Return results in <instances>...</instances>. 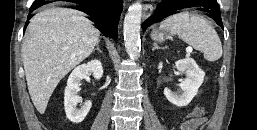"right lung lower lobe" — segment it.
I'll list each match as a JSON object with an SVG mask.
<instances>
[{"label":"right lung lower lobe","instance_id":"98d812e1","mask_svg":"<svg viewBox=\"0 0 257 130\" xmlns=\"http://www.w3.org/2000/svg\"><path fill=\"white\" fill-rule=\"evenodd\" d=\"M47 4V2L35 0L30 7V12ZM85 10H82L89 15L88 19L95 23L105 36L117 39L118 19L122 11V2L116 0H96L83 5ZM28 24L26 22L25 26Z\"/></svg>","mask_w":257,"mask_h":130}]
</instances>
